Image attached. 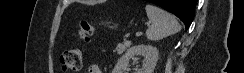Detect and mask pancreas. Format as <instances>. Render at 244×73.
Masks as SVG:
<instances>
[{
	"mask_svg": "<svg viewBox=\"0 0 244 73\" xmlns=\"http://www.w3.org/2000/svg\"><path fill=\"white\" fill-rule=\"evenodd\" d=\"M131 46V42L130 41H126L123 43H119L116 47V49L114 50V52H116L118 55L122 54L128 47Z\"/></svg>",
	"mask_w": 244,
	"mask_h": 73,
	"instance_id": "1",
	"label": "pancreas"
}]
</instances>
